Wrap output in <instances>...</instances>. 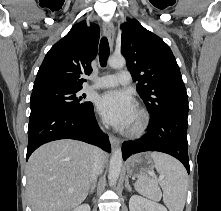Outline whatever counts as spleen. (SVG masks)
I'll list each match as a JSON object with an SVG mask.
<instances>
[{"label": "spleen", "instance_id": "spleen-1", "mask_svg": "<svg viewBox=\"0 0 221 211\" xmlns=\"http://www.w3.org/2000/svg\"><path fill=\"white\" fill-rule=\"evenodd\" d=\"M150 156L160 177L156 179L147 175L140 176L136 183V190L155 201L163 197L169 211H183L188 189L185 168L178 160L167 154L152 152Z\"/></svg>", "mask_w": 221, "mask_h": 211}]
</instances>
